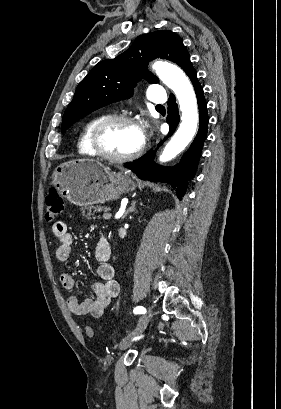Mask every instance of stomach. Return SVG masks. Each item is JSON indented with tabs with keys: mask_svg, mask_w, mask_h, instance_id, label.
Segmentation results:
<instances>
[{
	"mask_svg": "<svg viewBox=\"0 0 281 409\" xmlns=\"http://www.w3.org/2000/svg\"><path fill=\"white\" fill-rule=\"evenodd\" d=\"M50 180L62 196L78 207L98 205L135 188L131 172H110L102 162L90 158L58 164Z\"/></svg>",
	"mask_w": 281,
	"mask_h": 409,
	"instance_id": "1",
	"label": "stomach"
}]
</instances>
